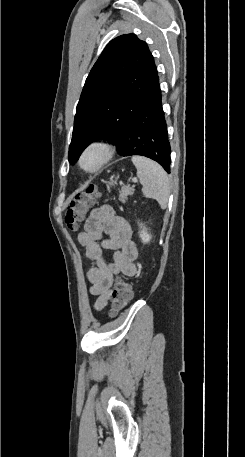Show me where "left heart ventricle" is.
<instances>
[{"instance_id": "1", "label": "left heart ventricle", "mask_w": 245, "mask_h": 457, "mask_svg": "<svg viewBox=\"0 0 245 457\" xmlns=\"http://www.w3.org/2000/svg\"><path fill=\"white\" fill-rule=\"evenodd\" d=\"M95 162H96V157H94V156L89 157V158L87 159V161H86V163H87L88 166L94 165Z\"/></svg>"}]
</instances>
